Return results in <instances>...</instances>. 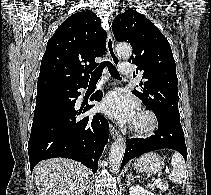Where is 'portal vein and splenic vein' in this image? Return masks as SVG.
<instances>
[{
	"mask_svg": "<svg viewBox=\"0 0 211 195\" xmlns=\"http://www.w3.org/2000/svg\"><path fill=\"white\" fill-rule=\"evenodd\" d=\"M159 182H160V179H156V180L153 182L152 186L157 185Z\"/></svg>",
	"mask_w": 211,
	"mask_h": 195,
	"instance_id": "portal-vein-and-splenic-vein-1",
	"label": "portal vein and splenic vein"
}]
</instances>
